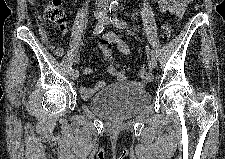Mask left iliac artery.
Instances as JSON below:
<instances>
[{
	"instance_id": "1",
	"label": "left iliac artery",
	"mask_w": 225,
	"mask_h": 159,
	"mask_svg": "<svg viewBox=\"0 0 225 159\" xmlns=\"http://www.w3.org/2000/svg\"><path fill=\"white\" fill-rule=\"evenodd\" d=\"M117 10H118V8H113V9H112L113 13H112V15H111V17H110V20L112 21V23H113L114 25H116V26H119V25H122V26H125V27L128 26V24H127L125 21L119 20V19L117 18V15H116V11H117ZM151 55H152V56H156L153 50H151Z\"/></svg>"
}]
</instances>
